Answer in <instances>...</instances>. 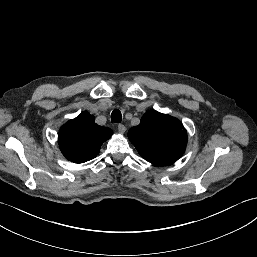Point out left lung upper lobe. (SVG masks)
Segmentation results:
<instances>
[{"label": "left lung upper lobe", "mask_w": 257, "mask_h": 257, "mask_svg": "<svg viewBox=\"0 0 257 257\" xmlns=\"http://www.w3.org/2000/svg\"><path fill=\"white\" fill-rule=\"evenodd\" d=\"M128 137L146 161L161 166L177 161L187 144L182 123L155 110L145 113L140 124L129 130Z\"/></svg>", "instance_id": "left-lung-upper-lobe-1"}]
</instances>
